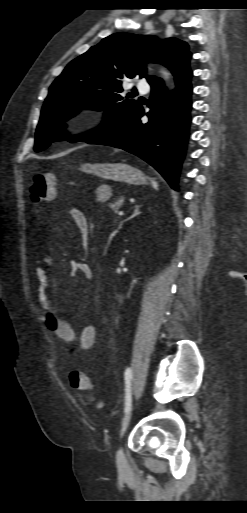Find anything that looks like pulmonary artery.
Returning a JSON list of instances; mask_svg holds the SVG:
<instances>
[{"label":"pulmonary artery","instance_id":"1","mask_svg":"<svg viewBox=\"0 0 247 513\" xmlns=\"http://www.w3.org/2000/svg\"><path fill=\"white\" fill-rule=\"evenodd\" d=\"M137 89L141 93H147L149 91L150 87H149V85L146 82H139L138 85H137Z\"/></svg>","mask_w":247,"mask_h":513}]
</instances>
